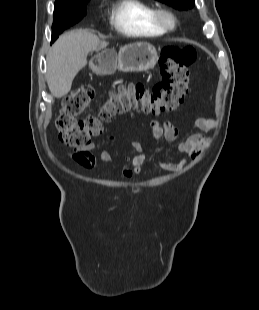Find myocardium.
<instances>
[{"label":"myocardium","instance_id":"f54148a6","mask_svg":"<svg viewBox=\"0 0 259 310\" xmlns=\"http://www.w3.org/2000/svg\"><path fill=\"white\" fill-rule=\"evenodd\" d=\"M153 20L155 24L164 31H172L177 26V19L175 15L171 11L164 8L154 10Z\"/></svg>","mask_w":259,"mask_h":310}]
</instances>
